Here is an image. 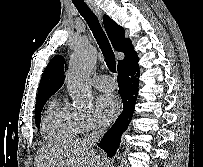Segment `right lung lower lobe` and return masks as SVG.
Masks as SVG:
<instances>
[{"label": "right lung lower lobe", "instance_id": "1", "mask_svg": "<svg viewBox=\"0 0 203 167\" xmlns=\"http://www.w3.org/2000/svg\"><path fill=\"white\" fill-rule=\"evenodd\" d=\"M138 61L118 70L119 94L123 101V112L119 115L113 126L100 141L102 148L109 157L115 155L120 145L122 133L128 128L133 115L138 94L139 74Z\"/></svg>", "mask_w": 203, "mask_h": 167}]
</instances>
